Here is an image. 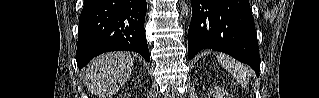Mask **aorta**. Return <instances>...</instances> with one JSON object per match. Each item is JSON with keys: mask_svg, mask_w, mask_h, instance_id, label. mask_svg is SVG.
<instances>
[{"mask_svg": "<svg viewBox=\"0 0 319 98\" xmlns=\"http://www.w3.org/2000/svg\"><path fill=\"white\" fill-rule=\"evenodd\" d=\"M182 2H183V1H182ZM182 4H183V9L187 11V5H186V3L183 2Z\"/></svg>", "mask_w": 319, "mask_h": 98, "instance_id": "762f6f07", "label": "aorta"}]
</instances>
